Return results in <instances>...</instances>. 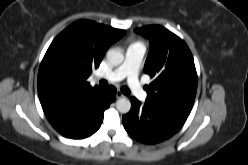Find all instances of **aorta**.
I'll return each instance as SVG.
<instances>
[{
  "mask_svg": "<svg viewBox=\"0 0 248 165\" xmlns=\"http://www.w3.org/2000/svg\"><path fill=\"white\" fill-rule=\"evenodd\" d=\"M107 60L110 64L118 66L123 62L124 55L118 49H110L107 52ZM116 108L120 113H128L131 109V102L127 98H120L116 102Z\"/></svg>",
  "mask_w": 248,
  "mask_h": 165,
  "instance_id": "aorta-1",
  "label": "aorta"
}]
</instances>
